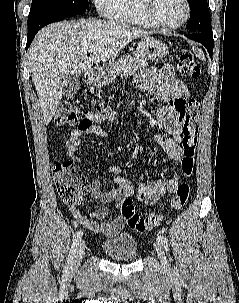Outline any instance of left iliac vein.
Instances as JSON below:
<instances>
[{
	"label": "left iliac vein",
	"mask_w": 239,
	"mask_h": 303,
	"mask_svg": "<svg viewBox=\"0 0 239 303\" xmlns=\"http://www.w3.org/2000/svg\"><path fill=\"white\" fill-rule=\"evenodd\" d=\"M154 247L157 252L158 258L161 262V265L163 266V268L165 270H169V264H168V261H167V258H166L162 245L159 242H156L154 244Z\"/></svg>",
	"instance_id": "obj_1"
}]
</instances>
